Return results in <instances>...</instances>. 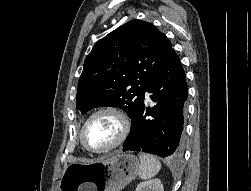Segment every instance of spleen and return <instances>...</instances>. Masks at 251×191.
<instances>
[{
	"mask_svg": "<svg viewBox=\"0 0 251 191\" xmlns=\"http://www.w3.org/2000/svg\"><path fill=\"white\" fill-rule=\"evenodd\" d=\"M138 155L141 161L139 177H141V179H150V177H154L159 169H161L159 159L154 157V155H149V153H138Z\"/></svg>",
	"mask_w": 251,
	"mask_h": 191,
	"instance_id": "spleen-1",
	"label": "spleen"
}]
</instances>
